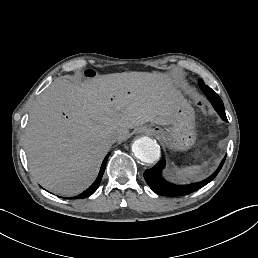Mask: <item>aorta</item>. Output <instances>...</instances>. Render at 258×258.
Here are the masks:
<instances>
[{"mask_svg": "<svg viewBox=\"0 0 258 258\" xmlns=\"http://www.w3.org/2000/svg\"><path fill=\"white\" fill-rule=\"evenodd\" d=\"M132 151L137 159L144 163H153L160 158V146L149 137L137 139L132 144Z\"/></svg>", "mask_w": 258, "mask_h": 258, "instance_id": "762f6f07", "label": "aorta"}]
</instances>
